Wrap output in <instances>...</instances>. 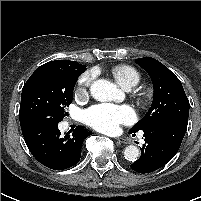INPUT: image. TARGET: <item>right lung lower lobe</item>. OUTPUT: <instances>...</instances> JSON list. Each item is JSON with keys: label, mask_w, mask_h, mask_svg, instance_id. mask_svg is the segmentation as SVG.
Listing matches in <instances>:
<instances>
[{"label": "right lung lower lobe", "mask_w": 201, "mask_h": 201, "mask_svg": "<svg viewBox=\"0 0 201 201\" xmlns=\"http://www.w3.org/2000/svg\"><path fill=\"white\" fill-rule=\"evenodd\" d=\"M58 123L40 121L21 129L26 145L37 161L50 169L63 170L78 163L82 143L92 133L77 126L72 134L62 135Z\"/></svg>", "instance_id": "right-lung-lower-lobe-1"}]
</instances>
